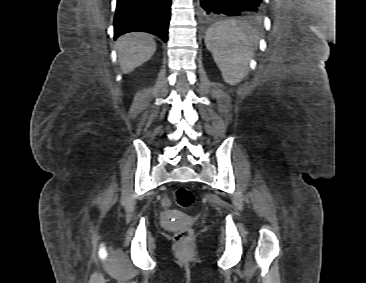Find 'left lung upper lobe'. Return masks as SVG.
<instances>
[{"label": "left lung upper lobe", "instance_id": "obj_1", "mask_svg": "<svg viewBox=\"0 0 366 283\" xmlns=\"http://www.w3.org/2000/svg\"><path fill=\"white\" fill-rule=\"evenodd\" d=\"M261 14H262V11L256 12V13H251V15H253L256 18L259 17V16H261Z\"/></svg>", "mask_w": 366, "mask_h": 283}]
</instances>
